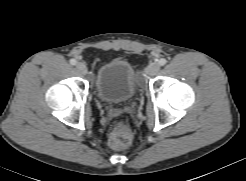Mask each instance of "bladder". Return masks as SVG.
<instances>
[{
  "label": "bladder",
  "mask_w": 246,
  "mask_h": 181,
  "mask_svg": "<svg viewBox=\"0 0 246 181\" xmlns=\"http://www.w3.org/2000/svg\"><path fill=\"white\" fill-rule=\"evenodd\" d=\"M138 74L125 59L103 64L95 78L97 96L104 102L119 104L130 101L138 89Z\"/></svg>",
  "instance_id": "31cf9c89"
}]
</instances>
